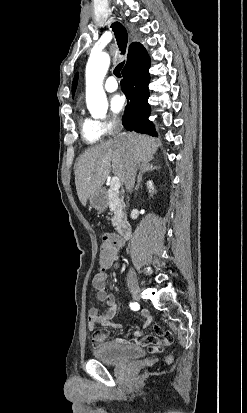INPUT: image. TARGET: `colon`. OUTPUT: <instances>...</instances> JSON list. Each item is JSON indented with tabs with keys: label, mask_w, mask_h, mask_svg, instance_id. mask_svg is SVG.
I'll return each mask as SVG.
<instances>
[{
	"label": "colon",
	"mask_w": 247,
	"mask_h": 413,
	"mask_svg": "<svg viewBox=\"0 0 247 413\" xmlns=\"http://www.w3.org/2000/svg\"><path fill=\"white\" fill-rule=\"evenodd\" d=\"M121 249L113 244L110 237H104L101 244L96 245V262L101 267L109 266V261L116 260V254H119Z\"/></svg>",
	"instance_id": "colon-1"
}]
</instances>
